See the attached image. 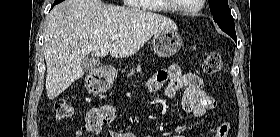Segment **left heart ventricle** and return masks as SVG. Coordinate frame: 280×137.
Instances as JSON below:
<instances>
[{
    "mask_svg": "<svg viewBox=\"0 0 280 137\" xmlns=\"http://www.w3.org/2000/svg\"><path fill=\"white\" fill-rule=\"evenodd\" d=\"M180 5L182 6H195L197 4V0H180Z\"/></svg>",
    "mask_w": 280,
    "mask_h": 137,
    "instance_id": "left-heart-ventricle-1",
    "label": "left heart ventricle"
}]
</instances>
